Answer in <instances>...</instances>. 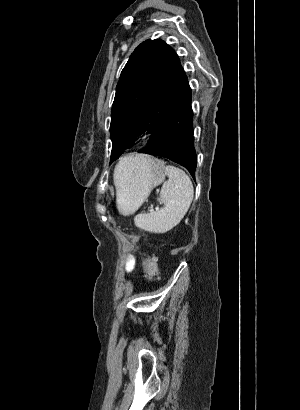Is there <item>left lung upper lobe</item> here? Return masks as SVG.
<instances>
[{
  "instance_id": "obj_1",
  "label": "left lung upper lobe",
  "mask_w": 300,
  "mask_h": 410,
  "mask_svg": "<svg viewBox=\"0 0 300 410\" xmlns=\"http://www.w3.org/2000/svg\"><path fill=\"white\" fill-rule=\"evenodd\" d=\"M189 86L175 51L162 40H146L131 54L121 72L112 105L110 163L134 138L153 133Z\"/></svg>"
}]
</instances>
